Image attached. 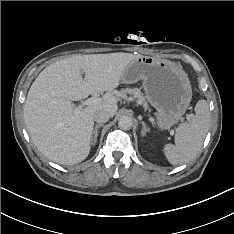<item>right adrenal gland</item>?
Returning a JSON list of instances; mask_svg holds the SVG:
<instances>
[{"label": "right adrenal gland", "instance_id": "obj_1", "mask_svg": "<svg viewBox=\"0 0 234 234\" xmlns=\"http://www.w3.org/2000/svg\"><path fill=\"white\" fill-rule=\"evenodd\" d=\"M102 126H103V124L96 125L95 128H94V130H93V132H92V144L93 145L96 144V142H97L98 129L100 127H102Z\"/></svg>", "mask_w": 234, "mask_h": 234}]
</instances>
